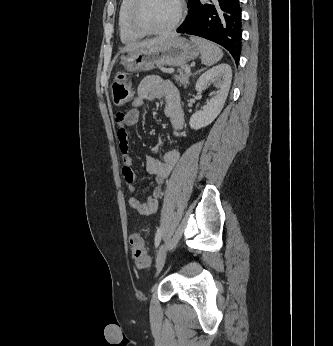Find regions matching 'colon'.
Here are the masks:
<instances>
[{
	"mask_svg": "<svg viewBox=\"0 0 333 346\" xmlns=\"http://www.w3.org/2000/svg\"><path fill=\"white\" fill-rule=\"evenodd\" d=\"M113 101L117 106L126 105L131 98V85L123 74L117 76L112 84ZM120 114V113H119ZM131 254L140 268L150 266V259L146 251L144 239L139 234L130 237Z\"/></svg>",
	"mask_w": 333,
	"mask_h": 346,
	"instance_id": "obj_1",
	"label": "colon"
}]
</instances>
